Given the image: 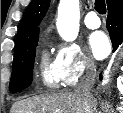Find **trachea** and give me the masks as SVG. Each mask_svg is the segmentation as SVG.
Wrapping results in <instances>:
<instances>
[{
  "label": "trachea",
  "instance_id": "3493384b",
  "mask_svg": "<svg viewBox=\"0 0 123 113\" xmlns=\"http://www.w3.org/2000/svg\"><path fill=\"white\" fill-rule=\"evenodd\" d=\"M95 9L99 14L106 13V4L104 0H95Z\"/></svg>",
  "mask_w": 123,
  "mask_h": 113
}]
</instances>
